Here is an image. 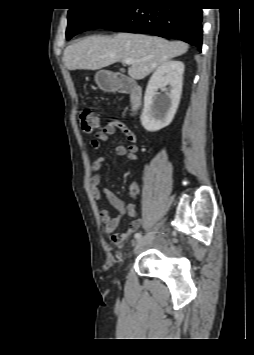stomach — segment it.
Masks as SVG:
<instances>
[{
  "instance_id": "1",
  "label": "stomach",
  "mask_w": 254,
  "mask_h": 355,
  "mask_svg": "<svg viewBox=\"0 0 254 355\" xmlns=\"http://www.w3.org/2000/svg\"><path fill=\"white\" fill-rule=\"evenodd\" d=\"M99 75H100V73H97L96 74V82L100 85V86H103V82L102 81H100V79H99Z\"/></svg>"
}]
</instances>
